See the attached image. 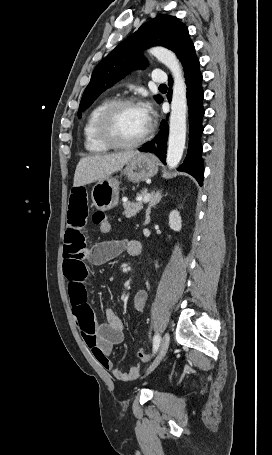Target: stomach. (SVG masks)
Returning a JSON list of instances; mask_svg holds the SVG:
<instances>
[{
  "mask_svg": "<svg viewBox=\"0 0 272 455\" xmlns=\"http://www.w3.org/2000/svg\"><path fill=\"white\" fill-rule=\"evenodd\" d=\"M158 164L156 159L149 154H138L131 158L122 173L132 182H138L156 175ZM93 206L100 211L114 208L119 201V181L116 177L109 176L98 181L91 192Z\"/></svg>",
  "mask_w": 272,
  "mask_h": 455,
  "instance_id": "1",
  "label": "stomach"
}]
</instances>
